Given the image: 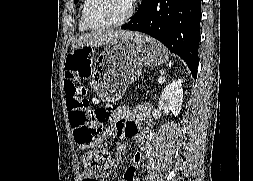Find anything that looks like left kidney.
Wrapping results in <instances>:
<instances>
[{"label":"left kidney","instance_id":"5707ae66","mask_svg":"<svg viewBox=\"0 0 253 181\" xmlns=\"http://www.w3.org/2000/svg\"><path fill=\"white\" fill-rule=\"evenodd\" d=\"M183 81L181 79L168 84L159 98V106L164 110H170L176 117L182 107L183 102Z\"/></svg>","mask_w":253,"mask_h":181}]
</instances>
